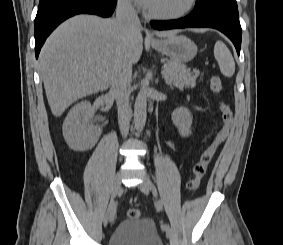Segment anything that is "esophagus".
<instances>
[{
  "mask_svg": "<svg viewBox=\"0 0 283 245\" xmlns=\"http://www.w3.org/2000/svg\"><path fill=\"white\" fill-rule=\"evenodd\" d=\"M147 38H148V39H152V37H151V36H147Z\"/></svg>",
  "mask_w": 283,
  "mask_h": 245,
  "instance_id": "obj_1",
  "label": "esophagus"
}]
</instances>
